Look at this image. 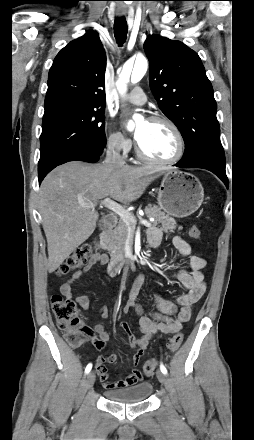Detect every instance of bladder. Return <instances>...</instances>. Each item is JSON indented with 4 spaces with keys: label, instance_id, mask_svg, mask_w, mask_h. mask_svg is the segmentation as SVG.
<instances>
[{
    "label": "bladder",
    "instance_id": "obj_1",
    "mask_svg": "<svg viewBox=\"0 0 254 440\" xmlns=\"http://www.w3.org/2000/svg\"><path fill=\"white\" fill-rule=\"evenodd\" d=\"M153 392V387L150 382L143 381L134 385L107 390L104 392L105 396L112 401L123 403H135L146 400Z\"/></svg>",
    "mask_w": 254,
    "mask_h": 440
}]
</instances>
